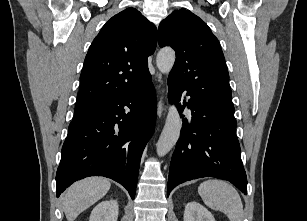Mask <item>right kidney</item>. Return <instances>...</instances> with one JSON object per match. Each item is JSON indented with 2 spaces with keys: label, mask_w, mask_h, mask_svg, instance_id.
Returning a JSON list of instances; mask_svg holds the SVG:
<instances>
[{
  "label": "right kidney",
  "mask_w": 307,
  "mask_h": 221,
  "mask_svg": "<svg viewBox=\"0 0 307 221\" xmlns=\"http://www.w3.org/2000/svg\"><path fill=\"white\" fill-rule=\"evenodd\" d=\"M117 200L102 201L92 210L89 221H117Z\"/></svg>",
  "instance_id": "obj_1"
}]
</instances>
